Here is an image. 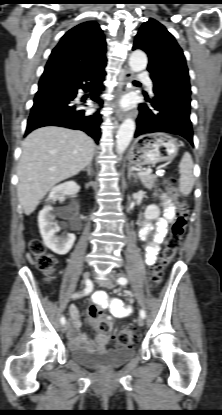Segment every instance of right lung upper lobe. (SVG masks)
<instances>
[{
  "mask_svg": "<svg viewBox=\"0 0 222 415\" xmlns=\"http://www.w3.org/2000/svg\"><path fill=\"white\" fill-rule=\"evenodd\" d=\"M106 42L94 21L81 23L69 30L53 49L46 67H60L87 72L106 65Z\"/></svg>",
  "mask_w": 222,
  "mask_h": 415,
  "instance_id": "obj_1",
  "label": "right lung upper lobe"
}]
</instances>
